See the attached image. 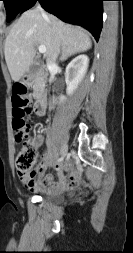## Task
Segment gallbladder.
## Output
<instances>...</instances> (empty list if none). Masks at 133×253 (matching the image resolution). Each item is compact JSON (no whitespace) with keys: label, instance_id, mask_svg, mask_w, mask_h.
<instances>
[{"label":"gallbladder","instance_id":"1","mask_svg":"<svg viewBox=\"0 0 133 253\" xmlns=\"http://www.w3.org/2000/svg\"><path fill=\"white\" fill-rule=\"evenodd\" d=\"M37 71H38L37 65L33 64L30 66L29 70L26 72V75L30 77L35 76Z\"/></svg>","mask_w":133,"mask_h":253}]
</instances>
